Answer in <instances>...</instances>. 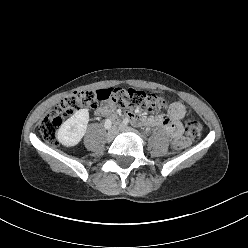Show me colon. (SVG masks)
I'll list each match as a JSON object with an SVG mask.
<instances>
[{
  "label": "colon",
  "instance_id": "obj_1",
  "mask_svg": "<svg viewBox=\"0 0 248 248\" xmlns=\"http://www.w3.org/2000/svg\"><path fill=\"white\" fill-rule=\"evenodd\" d=\"M148 94L150 93L123 87L72 92L41 120L40 133L48 144H55L60 126L77 110L84 107H96L100 102H107L124 109L144 111L147 110L144 106V99ZM201 133V123L198 120H189L185 126V135L175 138L171 144V149L178 151L185 148L192 141L197 140Z\"/></svg>",
  "mask_w": 248,
  "mask_h": 248
}]
</instances>
